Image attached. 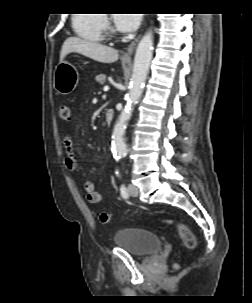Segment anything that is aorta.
Segmentation results:
<instances>
[{
    "label": "aorta",
    "mask_w": 252,
    "mask_h": 303,
    "mask_svg": "<svg viewBox=\"0 0 252 303\" xmlns=\"http://www.w3.org/2000/svg\"><path fill=\"white\" fill-rule=\"evenodd\" d=\"M153 50V33L149 30L138 43L133 65V73L127 95V103L122 110L117 123L115 124L112 143L113 154L116 160H120L127 155V145L124 140L125 129L128 120L131 118L134 105L138 102L148 74Z\"/></svg>",
    "instance_id": "obj_1"
}]
</instances>
